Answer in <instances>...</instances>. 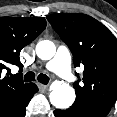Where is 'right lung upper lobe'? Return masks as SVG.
Returning <instances> with one entry per match:
<instances>
[{"label":"right lung upper lobe","instance_id":"1","mask_svg":"<svg viewBox=\"0 0 117 117\" xmlns=\"http://www.w3.org/2000/svg\"><path fill=\"white\" fill-rule=\"evenodd\" d=\"M43 17H0V114L13 106L29 89L16 75H4L9 65L22 66L20 51L31 43L46 27ZM11 74V72L9 73Z\"/></svg>","mask_w":117,"mask_h":117}]
</instances>
